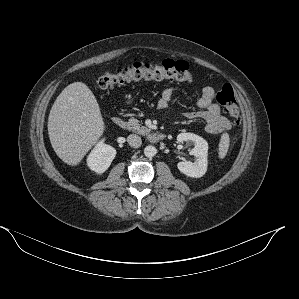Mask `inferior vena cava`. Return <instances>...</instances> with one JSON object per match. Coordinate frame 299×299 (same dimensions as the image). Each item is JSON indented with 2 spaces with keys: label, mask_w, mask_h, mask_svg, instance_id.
<instances>
[{
  "label": "inferior vena cava",
  "mask_w": 299,
  "mask_h": 299,
  "mask_svg": "<svg viewBox=\"0 0 299 299\" xmlns=\"http://www.w3.org/2000/svg\"><path fill=\"white\" fill-rule=\"evenodd\" d=\"M127 142L133 148H138L142 144L141 138L138 135H136V134H130L127 137Z\"/></svg>",
  "instance_id": "inferior-vena-cava-1"
}]
</instances>
